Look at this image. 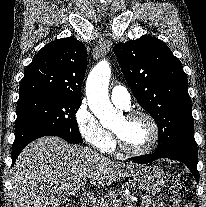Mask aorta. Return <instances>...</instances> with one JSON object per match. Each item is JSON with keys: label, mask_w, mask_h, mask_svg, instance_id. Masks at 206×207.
Wrapping results in <instances>:
<instances>
[{"label": "aorta", "mask_w": 206, "mask_h": 207, "mask_svg": "<svg viewBox=\"0 0 206 207\" xmlns=\"http://www.w3.org/2000/svg\"><path fill=\"white\" fill-rule=\"evenodd\" d=\"M111 69L107 61L99 62L90 72L86 82L89 108L103 126H109L119 116L108 95Z\"/></svg>", "instance_id": "762f6f07"}]
</instances>
